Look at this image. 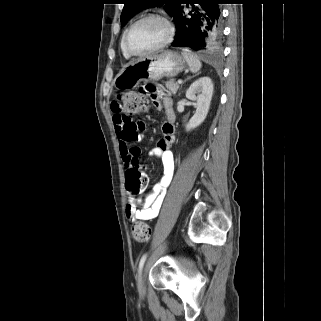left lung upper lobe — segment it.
<instances>
[{
  "mask_svg": "<svg viewBox=\"0 0 321 321\" xmlns=\"http://www.w3.org/2000/svg\"><path fill=\"white\" fill-rule=\"evenodd\" d=\"M184 0H124V8L121 13V24L124 26L129 19L143 9L164 5L165 11L172 17Z\"/></svg>",
  "mask_w": 321,
  "mask_h": 321,
  "instance_id": "left-lung-upper-lobe-1",
  "label": "left lung upper lobe"
}]
</instances>
